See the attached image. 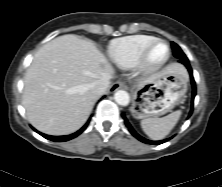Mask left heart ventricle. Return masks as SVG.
Segmentation results:
<instances>
[{"mask_svg": "<svg viewBox=\"0 0 222 187\" xmlns=\"http://www.w3.org/2000/svg\"><path fill=\"white\" fill-rule=\"evenodd\" d=\"M166 51L167 49L165 45L163 44L157 45L153 50L152 59L155 61L162 59L165 56Z\"/></svg>", "mask_w": 222, "mask_h": 187, "instance_id": "left-heart-ventricle-1", "label": "left heart ventricle"}]
</instances>
